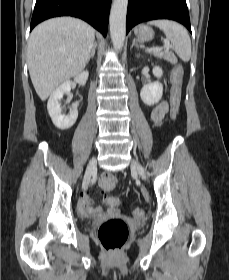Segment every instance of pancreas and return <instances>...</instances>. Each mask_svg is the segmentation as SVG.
I'll return each instance as SVG.
<instances>
[{"label":"pancreas","mask_w":229,"mask_h":280,"mask_svg":"<svg viewBox=\"0 0 229 280\" xmlns=\"http://www.w3.org/2000/svg\"><path fill=\"white\" fill-rule=\"evenodd\" d=\"M152 53L155 57L163 58V59L169 61L172 64L177 63V58L175 57V55L171 51H168V50H166V51H153Z\"/></svg>","instance_id":"1"}]
</instances>
